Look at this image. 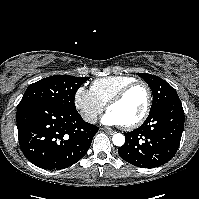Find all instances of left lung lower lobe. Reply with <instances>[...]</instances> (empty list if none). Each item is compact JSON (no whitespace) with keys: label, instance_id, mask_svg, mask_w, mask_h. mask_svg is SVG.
Here are the masks:
<instances>
[{"label":"left lung lower lobe","instance_id":"0a47b994","mask_svg":"<svg viewBox=\"0 0 199 199\" xmlns=\"http://www.w3.org/2000/svg\"><path fill=\"white\" fill-rule=\"evenodd\" d=\"M184 128L180 100L168 102L150 111L136 130L124 133L126 141L118 149L122 159L141 168H155L176 154Z\"/></svg>","mask_w":199,"mask_h":199}]
</instances>
